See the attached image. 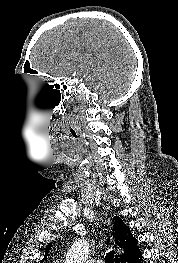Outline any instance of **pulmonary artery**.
<instances>
[{"label":"pulmonary artery","mask_w":178,"mask_h":263,"mask_svg":"<svg viewBox=\"0 0 178 263\" xmlns=\"http://www.w3.org/2000/svg\"><path fill=\"white\" fill-rule=\"evenodd\" d=\"M96 263H103L102 260H96Z\"/></svg>","instance_id":"pulmonary-artery-1"}]
</instances>
